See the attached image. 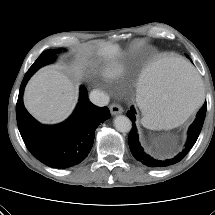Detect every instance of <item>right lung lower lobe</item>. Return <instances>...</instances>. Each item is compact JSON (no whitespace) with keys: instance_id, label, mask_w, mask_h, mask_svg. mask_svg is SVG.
<instances>
[{"instance_id":"1","label":"right lung lower lobe","mask_w":215,"mask_h":215,"mask_svg":"<svg viewBox=\"0 0 215 215\" xmlns=\"http://www.w3.org/2000/svg\"><path fill=\"white\" fill-rule=\"evenodd\" d=\"M30 77L31 74H25L16 105L18 128L26 147L35 158L52 168L64 169L79 164L91 150L95 129L110 117L109 109L92 104L82 86L79 103L65 122L41 125L23 105V91Z\"/></svg>"}]
</instances>
